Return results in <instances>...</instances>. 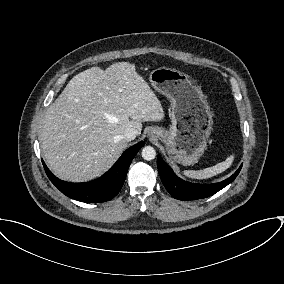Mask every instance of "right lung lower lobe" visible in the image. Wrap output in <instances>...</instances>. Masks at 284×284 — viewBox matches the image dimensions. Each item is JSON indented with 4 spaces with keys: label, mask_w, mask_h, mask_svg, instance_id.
<instances>
[{
    "label": "right lung lower lobe",
    "mask_w": 284,
    "mask_h": 284,
    "mask_svg": "<svg viewBox=\"0 0 284 284\" xmlns=\"http://www.w3.org/2000/svg\"><path fill=\"white\" fill-rule=\"evenodd\" d=\"M143 145L144 142H140L130 147L104 175L86 183L62 181L51 173L43 160L42 163L50 181L66 196L87 203L105 202L119 193L130 163Z\"/></svg>",
    "instance_id": "98d812e1"
}]
</instances>
